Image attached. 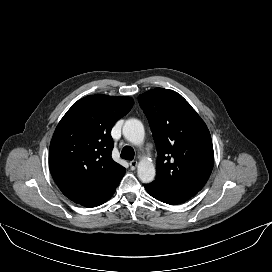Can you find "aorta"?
<instances>
[{"mask_svg":"<svg viewBox=\"0 0 272 272\" xmlns=\"http://www.w3.org/2000/svg\"><path fill=\"white\" fill-rule=\"evenodd\" d=\"M124 137L133 144L139 145L144 141L145 130L141 121L129 119L123 126ZM139 179L143 183H150L155 178V167L151 160L142 159L137 168Z\"/></svg>","mask_w":272,"mask_h":272,"instance_id":"obj_1","label":"aorta"}]
</instances>
